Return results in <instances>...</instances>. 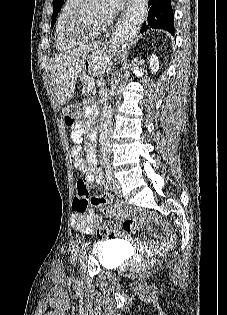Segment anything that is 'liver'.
Returning a JSON list of instances; mask_svg holds the SVG:
<instances>
[{
	"label": "liver",
	"instance_id": "1",
	"mask_svg": "<svg viewBox=\"0 0 227 315\" xmlns=\"http://www.w3.org/2000/svg\"><path fill=\"white\" fill-rule=\"evenodd\" d=\"M112 52L101 49L99 43H92L55 56L51 61L50 74L57 102L65 105L72 99L77 78L89 55L92 56L94 71L103 72L110 64Z\"/></svg>",
	"mask_w": 227,
	"mask_h": 315
}]
</instances>
